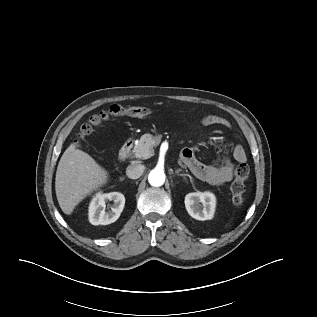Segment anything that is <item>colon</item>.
Here are the masks:
<instances>
[{
  "label": "colon",
  "instance_id": "colon-1",
  "mask_svg": "<svg viewBox=\"0 0 317 317\" xmlns=\"http://www.w3.org/2000/svg\"><path fill=\"white\" fill-rule=\"evenodd\" d=\"M150 109L144 106L123 107L121 105H112L108 110L91 117L88 123L84 124L80 129L79 137L84 139L89 136L95 127L104 123L112 117H134L141 118L150 114ZM249 167L245 163H240L234 171V180L230 185L233 205L237 208L244 203L245 181L249 177Z\"/></svg>",
  "mask_w": 317,
  "mask_h": 317
}]
</instances>
